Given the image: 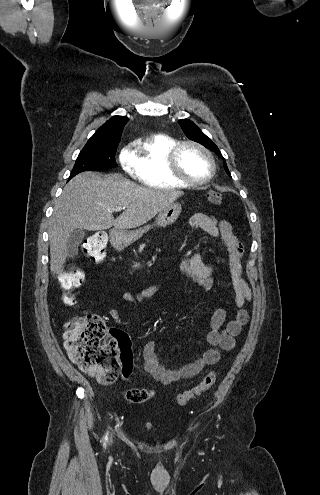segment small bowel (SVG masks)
I'll return each mask as SVG.
<instances>
[{"mask_svg":"<svg viewBox=\"0 0 320 495\" xmlns=\"http://www.w3.org/2000/svg\"><path fill=\"white\" fill-rule=\"evenodd\" d=\"M189 226L200 228L214 240L220 241L227 250V267L229 270L235 304L237 310L233 318L227 320L226 310L218 306L211 315L209 329L206 334L208 349L195 361L190 362L179 369L170 370L159 363L156 353V343L149 340L143 346L144 369L150 376L163 385H169L182 379H188L199 374L205 366L216 364L222 351H229L235 347V339L241 333L248 316L244 309L245 304L251 300V290L243 276L242 257L243 246L234 235L230 224L225 220H219L212 214L196 213L190 217ZM180 270L205 290L213 287V267L205 264L199 252L185 258L180 264ZM158 289V286L144 288L137 293L125 292L122 299L136 308L144 298L150 297ZM109 316L120 326H126L127 321L121 319L116 308L109 310ZM132 363L123 366L124 377L131 372ZM150 397L154 390H148Z\"/></svg>","mask_w":320,"mask_h":495,"instance_id":"small-bowel-1","label":"small bowel"}]
</instances>
